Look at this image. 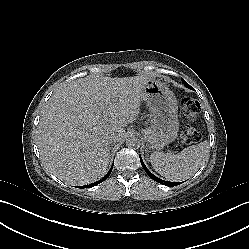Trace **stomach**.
Returning a JSON list of instances; mask_svg holds the SVG:
<instances>
[{"label": "stomach", "mask_w": 249, "mask_h": 249, "mask_svg": "<svg viewBox=\"0 0 249 249\" xmlns=\"http://www.w3.org/2000/svg\"><path fill=\"white\" fill-rule=\"evenodd\" d=\"M141 99L152 112L151 124L143 131L144 139L148 147L160 150L173 142L179 131L173 92L159 81L149 80Z\"/></svg>", "instance_id": "stomach-1"}]
</instances>
